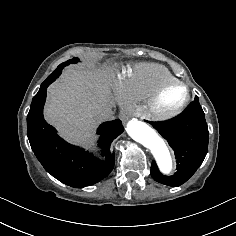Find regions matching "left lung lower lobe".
I'll return each mask as SVG.
<instances>
[{
	"label": "left lung lower lobe",
	"mask_w": 236,
	"mask_h": 236,
	"mask_svg": "<svg viewBox=\"0 0 236 236\" xmlns=\"http://www.w3.org/2000/svg\"><path fill=\"white\" fill-rule=\"evenodd\" d=\"M150 123L172 147L177 162V172L166 177L153 161L151 176L159 183L180 186L196 172L208 151L209 132L198 97L179 116L164 122Z\"/></svg>",
	"instance_id": "0a47b994"
}]
</instances>
